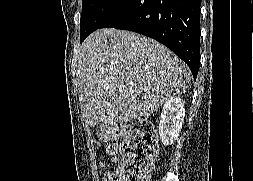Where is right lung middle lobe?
Instances as JSON below:
<instances>
[{
	"label": "right lung middle lobe",
	"mask_w": 253,
	"mask_h": 181,
	"mask_svg": "<svg viewBox=\"0 0 253 181\" xmlns=\"http://www.w3.org/2000/svg\"><path fill=\"white\" fill-rule=\"evenodd\" d=\"M128 0H83L80 19L81 36L100 28Z\"/></svg>",
	"instance_id": "obj_1"
}]
</instances>
